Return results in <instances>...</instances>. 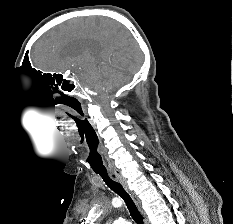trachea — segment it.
I'll return each instance as SVG.
<instances>
[{
  "mask_svg": "<svg viewBox=\"0 0 233 224\" xmlns=\"http://www.w3.org/2000/svg\"><path fill=\"white\" fill-rule=\"evenodd\" d=\"M96 174L101 176L106 185L124 200L130 212V215L136 222V224H143L142 216L140 215L134 201L132 200L130 195L124 190L122 185L117 181L113 180L107 172H96Z\"/></svg>",
  "mask_w": 233,
  "mask_h": 224,
  "instance_id": "trachea-1",
  "label": "trachea"
}]
</instances>
